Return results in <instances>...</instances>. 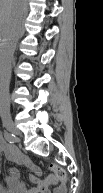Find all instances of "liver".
I'll return each mask as SVG.
<instances>
[{"label": "liver", "mask_w": 103, "mask_h": 193, "mask_svg": "<svg viewBox=\"0 0 103 193\" xmlns=\"http://www.w3.org/2000/svg\"><path fill=\"white\" fill-rule=\"evenodd\" d=\"M21 0H0V25L4 37L14 21L15 15L21 7Z\"/></svg>", "instance_id": "obj_1"}]
</instances>
